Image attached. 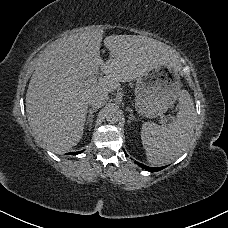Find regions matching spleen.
I'll use <instances>...</instances> for the list:
<instances>
[{
  "instance_id": "3e777b00",
  "label": "spleen",
  "mask_w": 228,
  "mask_h": 228,
  "mask_svg": "<svg viewBox=\"0 0 228 228\" xmlns=\"http://www.w3.org/2000/svg\"><path fill=\"white\" fill-rule=\"evenodd\" d=\"M177 99L178 111L171 124L159 126L145 122L141 126L140 138L150 164L175 160L187 149L193 137L196 117L193 99L187 90H181Z\"/></svg>"
}]
</instances>
